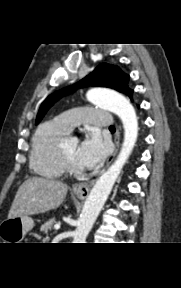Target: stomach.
Wrapping results in <instances>:
<instances>
[{"mask_svg":"<svg viewBox=\"0 0 181 288\" xmlns=\"http://www.w3.org/2000/svg\"><path fill=\"white\" fill-rule=\"evenodd\" d=\"M33 227L34 221L29 216L8 217L0 224V238L5 243H20Z\"/></svg>","mask_w":181,"mask_h":288,"instance_id":"stomach-1","label":"stomach"}]
</instances>
